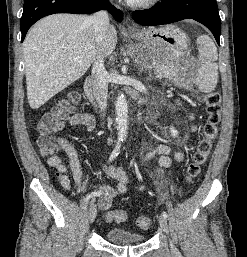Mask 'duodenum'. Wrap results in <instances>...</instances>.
I'll return each mask as SVG.
<instances>
[{"mask_svg": "<svg viewBox=\"0 0 247 257\" xmlns=\"http://www.w3.org/2000/svg\"><path fill=\"white\" fill-rule=\"evenodd\" d=\"M84 91L86 96L89 98V100L94 101V95H93V79L91 77H88L85 80L84 83Z\"/></svg>", "mask_w": 247, "mask_h": 257, "instance_id": "obj_1", "label": "duodenum"}]
</instances>
